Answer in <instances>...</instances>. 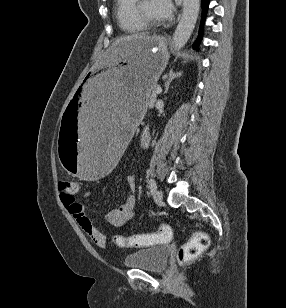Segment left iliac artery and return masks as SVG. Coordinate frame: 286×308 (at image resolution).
<instances>
[{"instance_id": "obj_1", "label": "left iliac artery", "mask_w": 286, "mask_h": 308, "mask_svg": "<svg viewBox=\"0 0 286 308\" xmlns=\"http://www.w3.org/2000/svg\"><path fill=\"white\" fill-rule=\"evenodd\" d=\"M156 188H157L156 182L153 179H150L149 180V189H150L151 194H153L156 191Z\"/></svg>"}]
</instances>
